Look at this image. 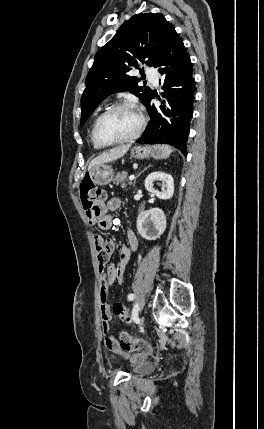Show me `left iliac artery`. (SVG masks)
<instances>
[{
  "label": "left iliac artery",
  "mask_w": 264,
  "mask_h": 429,
  "mask_svg": "<svg viewBox=\"0 0 264 429\" xmlns=\"http://www.w3.org/2000/svg\"><path fill=\"white\" fill-rule=\"evenodd\" d=\"M134 298H135L134 294L131 293V294L128 295V300H133Z\"/></svg>",
  "instance_id": "44dca946"
}]
</instances>
